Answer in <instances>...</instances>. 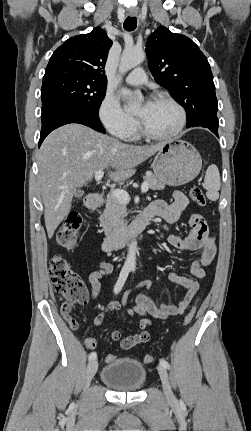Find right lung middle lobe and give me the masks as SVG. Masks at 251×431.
I'll return each instance as SVG.
<instances>
[{
    "label": "right lung middle lobe",
    "mask_w": 251,
    "mask_h": 431,
    "mask_svg": "<svg viewBox=\"0 0 251 431\" xmlns=\"http://www.w3.org/2000/svg\"><path fill=\"white\" fill-rule=\"evenodd\" d=\"M106 86L107 83L66 69L46 70L41 89L42 112L70 106L98 115Z\"/></svg>",
    "instance_id": "right-lung-middle-lobe-1"
}]
</instances>
